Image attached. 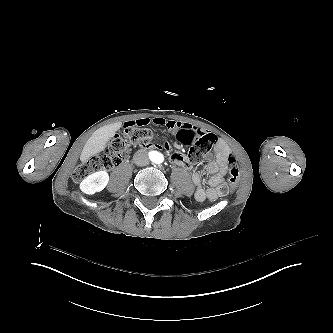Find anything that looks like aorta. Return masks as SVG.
Segmentation results:
<instances>
[{"mask_svg": "<svg viewBox=\"0 0 333 333\" xmlns=\"http://www.w3.org/2000/svg\"><path fill=\"white\" fill-rule=\"evenodd\" d=\"M151 160L156 164H161L164 161V156L160 152L154 151L151 156Z\"/></svg>", "mask_w": 333, "mask_h": 333, "instance_id": "obj_1", "label": "aorta"}]
</instances>
